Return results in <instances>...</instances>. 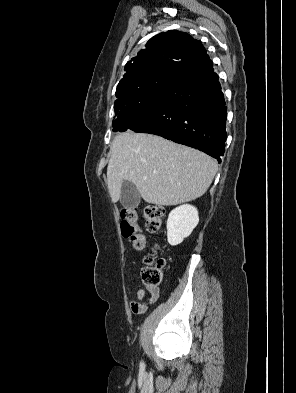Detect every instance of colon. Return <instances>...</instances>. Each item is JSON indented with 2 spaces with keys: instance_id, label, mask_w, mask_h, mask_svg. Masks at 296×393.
Here are the masks:
<instances>
[{
  "instance_id": "colon-1",
  "label": "colon",
  "mask_w": 296,
  "mask_h": 393,
  "mask_svg": "<svg viewBox=\"0 0 296 393\" xmlns=\"http://www.w3.org/2000/svg\"><path fill=\"white\" fill-rule=\"evenodd\" d=\"M146 227L150 232H157L164 220L165 209L158 204H149L143 210ZM138 213L136 209H124L121 213V233L124 238L131 241L133 247L140 251L145 248V239L138 227ZM141 279L144 285L153 294L163 279V261L146 258V265L141 270Z\"/></svg>"
}]
</instances>
